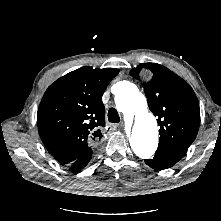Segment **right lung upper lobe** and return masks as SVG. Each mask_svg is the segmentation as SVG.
<instances>
[{
    "instance_id": "1",
    "label": "right lung upper lobe",
    "mask_w": 221,
    "mask_h": 221,
    "mask_svg": "<svg viewBox=\"0 0 221 221\" xmlns=\"http://www.w3.org/2000/svg\"><path fill=\"white\" fill-rule=\"evenodd\" d=\"M118 69L84 66L55 81L46 90L37 113L39 135L50 154L70 165L91 151L105 126L102 95Z\"/></svg>"
}]
</instances>
